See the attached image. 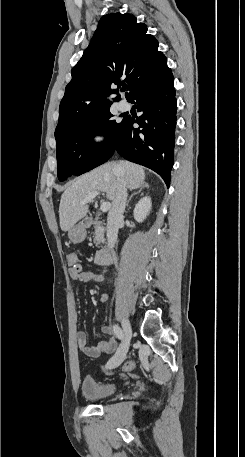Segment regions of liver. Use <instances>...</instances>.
<instances>
[{"label": "liver", "mask_w": 245, "mask_h": 457, "mask_svg": "<svg viewBox=\"0 0 245 457\" xmlns=\"http://www.w3.org/2000/svg\"><path fill=\"white\" fill-rule=\"evenodd\" d=\"M114 166H120L119 172H114ZM124 176L127 188L133 190L144 182L145 172L143 166L128 162V160H113L101 164L91 172L82 174L64 190L59 206V218L62 231H70L77 220L83 218L88 212L89 204L81 202L88 192L103 190L109 200H115L118 184L117 176ZM91 202V200H90Z\"/></svg>", "instance_id": "6515ba94"}]
</instances>
